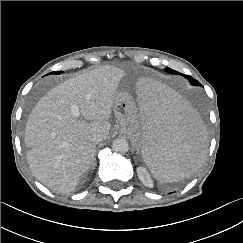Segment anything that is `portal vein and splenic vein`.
<instances>
[{"instance_id":"1","label":"portal vein and splenic vein","mask_w":243,"mask_h":243,"mask_svg":"<svg viewBox=\"0 0 243 243\" xmlns=\"http://www.w3.org/2000/svg\"><path fill=\"white\" fill-rule=\"evenodd\" d=\"M71 111H72V113H73V115L75 117H79L80 116L79 109H78V107L76 105L71 106Z\"/></svg>"}]
</instances>
